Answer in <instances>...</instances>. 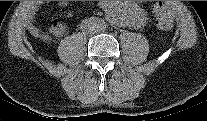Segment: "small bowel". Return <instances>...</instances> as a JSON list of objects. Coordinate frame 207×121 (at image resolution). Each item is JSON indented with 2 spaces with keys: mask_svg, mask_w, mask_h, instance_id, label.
Here are the masks:
<instances>
[{
  "mask_svg": "<svg viewBox=\"0 0 207 121\" xmlns=\"http://www.w3.org/2000/svg\"><path fill=\"white\" fill-rule=\"evenodd\" d=\"M67 4L66 1L59 2L61 7H65ZM100 6L111 22L131 26H141L145 23L144 13L135 3L118 5L109 1H102ZM65 30V26L59 23L53 28V31L57 36L62 35Z\"/></svg>",
  "mask_w": 207,
  "mask_h": 121,
  "instance_id": "small-bowel-1",
  "label": "small bowel"
}]
</instances>
